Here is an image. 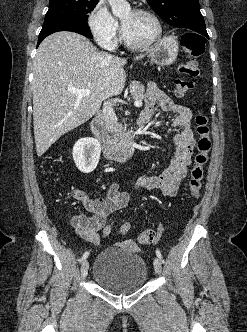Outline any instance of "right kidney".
<instances>
[{
    "mask_svg": "<svg viewBox=\"0 0 247 332\" xmlns=\"http://www.w3.org/2000/svg\"><path fill=\"white\" fill-rule=\"evenodd\" d=\"M100 154L98 140L91 137L81 138L73 146V160L82 173H91L97 167Z\"/></svg>",
    "mask_w": 247,
    "mask_h": 332,
    "instance_id": "ca27d5eb",
    "label": "right kidney"
}]
</instances>
